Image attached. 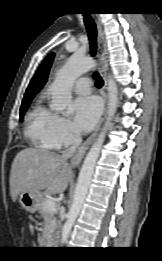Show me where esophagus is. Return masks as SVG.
I'll return each instance as SVG.
<instances>
[{"label":"esophagus","instance_id":"obj_1","mask_svg":"<svg viewBox=\"0 0 162 261\" xmlns=\"http://www.w3.org/2000/svg\"><path fill=\"white\" fill-rule=\"evenodd\" d=\"M97 26H98V58L100 62V73L103 78L104 84L101 90V94L104 100V107L102 111V116L97 123L93 133L85 140V142L78 148L77 152L75 155L71 158V166L76 167L79 162L81 161L82 157L84 156L86 150L88 147L91 145V143L94 141L100 125L104 119V115L106 112V105H107V70H108V53H107V44H106V39H105V34L102 30V26L99 21H97Z\"/></svg>","mask_w":162,"mask_h":261}]
</instances>
